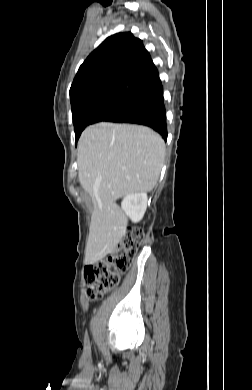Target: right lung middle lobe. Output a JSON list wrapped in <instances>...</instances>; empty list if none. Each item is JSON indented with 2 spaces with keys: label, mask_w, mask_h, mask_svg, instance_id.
<instances>
[{
  "label": "right lung middle lobe",
  "mask_w": 252,
  "mask_h": 390,
  "mask_svg": "<svg viewBox=\"0 0 252 390\" xmlns=\"http://www.w3.org/2000/svg\"><path fill=\"white\" fill-rule=\"evenodd\" d=\"M135 100L122 97H105L91 100L72 111L75 142L88 125L105 121L131 105Z\"/></svg>",
  "instance_id": "1"
}]
</instances>
